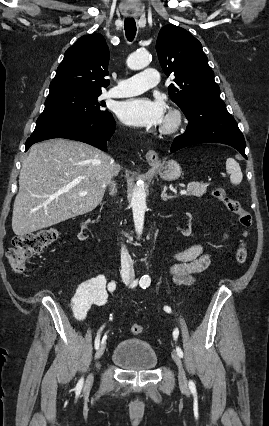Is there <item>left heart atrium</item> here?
Wrapping results in <instances>:
<instances>
[{"label": "left heart atrium", "mask_w": 269, "mask_h": 426, "mask_svg": "<svg viewBox=\"0 0 269 426\" xmlns=\"http://www.w3.org/2000/svg\"><path fill=\"white\" fill-rule=\"evenodd\" d=\"M117 115L127 125L138 128H152L165 121V108L159 100L138 97L119 103Z\"/></svg>", "instance_id": "1"}]
</instances>
